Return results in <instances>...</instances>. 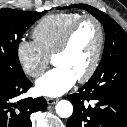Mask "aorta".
<instances>
[{"mask_svg": "<svg viewBox=\"0 0 127 127\" xmlns=\"http://www.w3.org/2000/svg\"><path fill=\"white\" fill-rule=\"evenodd\" d=\"M56 113L61 118H69L73 113V106L67 100H61L56 104Z\"/></svg>", "mask_w": 127, "mask_h": 127, "instance_id": "aorta-1", "label": "aorta"}]
</instances>
